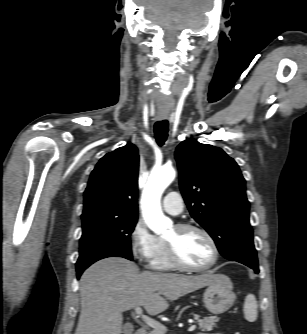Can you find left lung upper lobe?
Segmentation results:
<instances>
[{
  "label": "left lung upper lobe",
  "mask_w": 307,
  "mask_h": 334,
  "mask_svg": "<svg viewBox=\"0 0 307 334\" xmlns=\"http://www.w3.org/2000/svg\"><path fill=\"white\" fill-rule=\"evenodd\" d=\"M175 158L180 188L191 216L214 239L226 259L248 260L254 250L245 179L237 163L221 148L185 140Z\"/></svg>",
  "instance_id": "1"
}]
</instances>
